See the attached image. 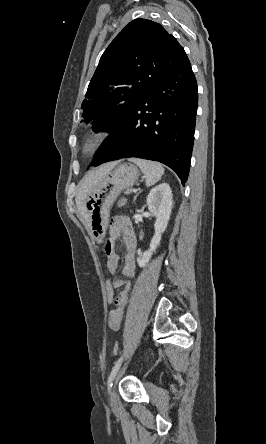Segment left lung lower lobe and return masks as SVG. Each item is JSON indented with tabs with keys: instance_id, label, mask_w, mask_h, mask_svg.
<instances>
[{
	"instance_id": "obj_1",
	"label": "left lung lower lobe",
	"mask_w": 266,
	"mask_h": 444,
	"mask_svg": "<svg viewBox=\"0 0 266 444\" xmlns=\"http://www.w3.org/2000/svg\"><path fill=\"white\" fill-rule=\"evenodd\" d=\"M197 103V83L186 55L112 131L91 165L126 157L154 160L174 170L184 185L190 169Z\"/></svg>"
}]
</instances>
